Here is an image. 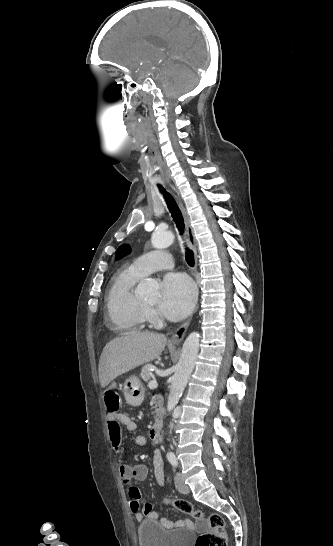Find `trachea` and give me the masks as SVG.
<instances>
[{
	"mask_svg": "<svg viewBox=\"0 0 333 546\" xmlns=\"http://www.w3.org/2000/svg\"><path fill=\"white\" fill-rule=\"evenodd\" d=\"M160 192L164 195V198H165V201H166V204H167V207L176 223V226L180 232V234L182 235L183 234V231H184V220H183V217H182V214H181V211L179 209V207L177 206L175 200L172 198V196L166 192V190L160 185L158 184L157 185ZM185 258H186V262L188 263V265L190 267H193L194 266V254H193V251L191 249H189L187 246H185Z\"/></svg>",
	"mask_w": 333,
	"mask_h": 546,
	"instance_id": "3493384b",
	"label": "trachea"
}]
</instances>
